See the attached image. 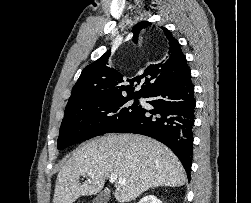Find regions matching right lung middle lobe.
<instances>
[{"label":"right lung middle lobe","instance_id":"obj_1","mask_svg":"<svg viewBox=\"0 0 251 203\" xmlns=\"http://www.w3.org/2000/svg\"><path fill=\"white\" fill-rule=\"evenodd\" d=\"M135 99L134 103L130 102ZM142 108L137 98L91 100L66 106L57 145L59 150L84 140L114 132Z\"/></svg>","mask_w":251,"mask_h":203}]
</instances>
